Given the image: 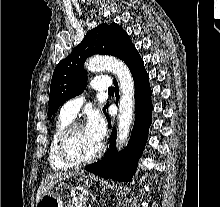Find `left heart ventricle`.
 Here are the masks:
<instances>
[{"instance_id": "left-heart-ventricle-1", "label": "left heart ventricle", "mask_w": 220, "mask_h": 207, "mask_svg": "<svg viewBox=\"0 0 220 207\" xmlns=\"http://www.w3.org/2000/svg\"><path fill=\"white\" fill-rule=\"evenodd\" d=\"M100 143L94 140L85 130L77 128L71 135L69 141V150L76 159H87L96 153Z\"/></svg>"}]
</instances>
